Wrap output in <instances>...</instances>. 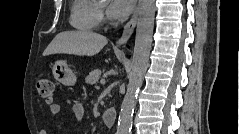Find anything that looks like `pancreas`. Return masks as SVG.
I'll return each mask as SVG.
<instances>
[{
	"label": "pancreas",
	"mask_w": 239,
	"mask_h": 134,
	"mask_svg": "<svg viewBox=\"0 0 239 134\" xmlns=\"http://www.w3.org/2000/svg\"><path fill=\"white\" fill-rule=\"evenodd\" d=\"M101 73L102 72L99 69L91 71L89 75L85 78L86 83L94 85L99 80Z\"/></svg>",
	"instance_id": "obj_1"
}]
</instances>
